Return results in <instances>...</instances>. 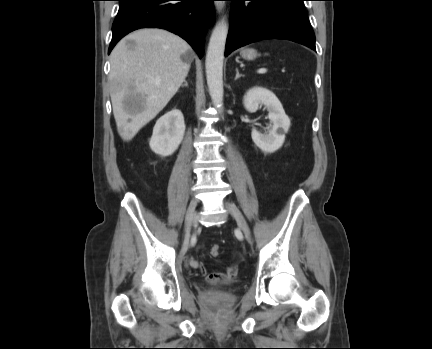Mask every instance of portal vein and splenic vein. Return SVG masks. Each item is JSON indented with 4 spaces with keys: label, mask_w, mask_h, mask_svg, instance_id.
I'll return each mask as SVG.
<instances>
[{
    "label": "portal vein and splenic vein",
    "mask_w": 432,
    "mask_h": 349,
    "mask_svg": "<svg viewBox=\"0 0 432 349\" xmlns=\"http://www.w3.org/2000/svg\"><path fill=\"white\" fill-rule=\"evenodd\" d=\"M267 72V69L266 68H260L259 70H258V73H266Z\"/></svg>",
    "instance_id": "1"
}]
</instances>
